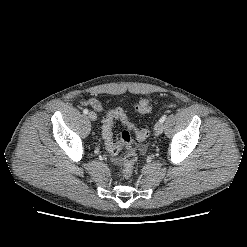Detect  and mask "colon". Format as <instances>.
<instances>
[{
  "label": "colon",
  "mask_w": 247,
  "mask_h": 247,
  "mask_svg": "<svg viewBox=\"0 0 247 247\" xmlns=\"http://www.w3.org/2000/svg\"><path fill=\"white\" fill-rule=\"evenodd\" d=\"M153 99L151 97L142 98L136 105L135 109L140 114H147L151 111ZM114 120H120L126 129L121 133L119 142L113 140ZM133 125L129 122L125 112L121 108L111 110L103 120L102 138L104 140L107 151L111 155H117L122 148H126L127 153L123 159L122 175L124 179H129L133 174L134 165L137 160V151L133 139ZM138 140L144 141L149 132L146 129L135 131Z\"/></svg>",
  "instance_id": "obj_1"
}]
</instances>
